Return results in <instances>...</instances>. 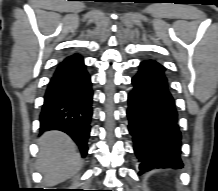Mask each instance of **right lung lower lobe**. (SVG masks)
I'll return each mask as SVG.
<instances>
[{
  "mask_svg": "<svg viewBox=\"0 0 218 191\" xmlns=\"http://www.w3.org/2000/svg\"><path fill=\"white\" fill-rule=\"evenodd\" d=\"M90 76L78 54L65 58L56 68L44 96L40 113V132L60 130L87 155L92 117Z\"/></svg>",
  "mask_w": 218,
  "mask_h": 191,
  "instance_id": "1",
  "label": "right lung lower lobe"
}]
</instances>
